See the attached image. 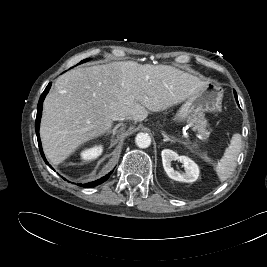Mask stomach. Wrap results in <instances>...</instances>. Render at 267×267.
<instances>
[{
    "instance_id": "obj_1",
    "label": "stomach",
    "mask_w": 267,
    "mask_h": 267,
    "mask_svg": "<svg viewBox=\"0 0 267 267\" xmlns=\"http://www.w3.org/2000/svg\"><path fill=\"white\" fill-rule=\"evenodd\" d=\"M223 90L215 83L187 98L176 113L174 120L183 122L200 112H219L222 108Z\"/></svg>"
}]
</instances>
